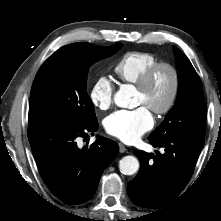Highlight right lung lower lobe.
<instances>
[{
    "label": "right lung lower lobe",
    "mask_w": 221,
    "mask_h": 221,
    "mask_svg": "<svg viewBox=\"0 0 221 221\" xmlns=\"http://www.w3.org/2000/svg\"><path fill=\"white\" fill-rule=\"evenodd\" d=\"M98 121L81 126L59 121L30 124L28 138L38 169L50 190L68 204H80L96 192L104 169L118 153V144L105 137L79 148L77 138L94 135Z\"/></svg>",
    "instance_id": "1"
}]
</instances>
